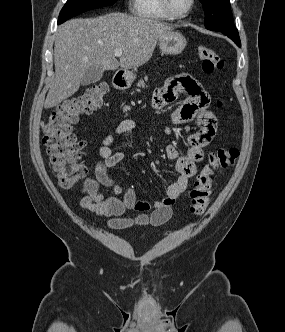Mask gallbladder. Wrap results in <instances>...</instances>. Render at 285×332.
I'll return each mask as SVG.
<instances>
[{
	"label": "gallbladder",
	"mask_w": 285,
	"mask_h": 332,
	"mask_svg": "<svg viewBox=\"0 0 285 332\" xmlns=\"http://www.w3.org/2000/svg\"><path fill=\"white\" fill-rule=\"evenodd\" d=\"M103 73L104 71L102 68H97V67L88 68L82 77L81 85L86 86L100 81L103 76Z\"/></svg>",
	"instance_id": "1"
}]
</instances>
